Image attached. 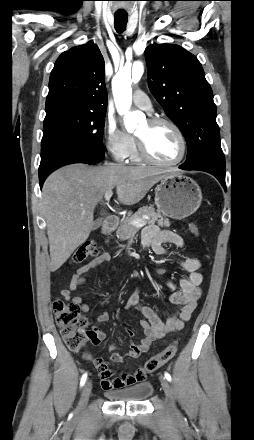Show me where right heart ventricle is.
Listing matches in <instances>:
<instances>
[{
	"label": "right heart ventricle",
	"mask_w": 254,
	"mask_h": 440,
	"mask_svg": "<svg viewBox=\"0 0 254 440\" xmlns=\"http://www.w3.org/2000/svg\"><path fill=\"white\" fill-rule=\"evenodd\" d=\"M130 159H131L133 162H141V161H142V159H141V157H140V155H139V153H138V150H137L136 145L134 146V148H133V150H132V153H131V155H130Z\"/></svg>",
	"instance_id": "right-heart-ventricle-1"
}]
</instances>
